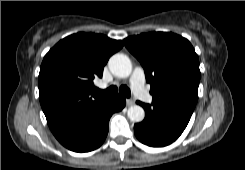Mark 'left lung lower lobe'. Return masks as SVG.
I'll use <instances>...</instances> for the list:
<instances>
[{"instance_id":"0a47b994","label":"left lung lower lobe","mask_w":245,"mask_h":170,"mask_svg":"<svg viewBox=\"0 0 245 170\" xmlns=\"http://www.w3.org/2000/svg\"><path fill=\"white\" fill-rule=\"evenodd\" d=\"M145 110V119L134 125L137 139L151 147H163L174 142L186 128L191 115L184 111L144 104L137 101Z\"/></svg>"}]
</instances>
